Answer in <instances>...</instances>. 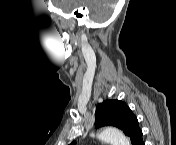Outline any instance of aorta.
<instances>
[{"instance_id":"obj_1","label":"aorta","mask_w":176,"mask_h":145,"mask_svg":"<svg viewBox=\"0 0 176 145\" xmlns=\"http://www.w3.org/2000/svg\"><path fill=\"white\" fill-rule=\"evenodd\" d=\"M98 138L111 145H130V141L125 135L115 128H105L98 134Z\"/></svg>"}]
</instances>
